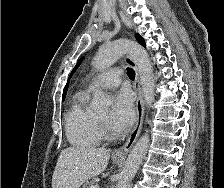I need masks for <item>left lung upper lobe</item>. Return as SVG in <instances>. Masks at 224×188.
I'll list each match as a JSON object with an SVG mask.
<instances>
[{
	"label": "left lung upper lobe",
	"instance_id": "1",
	"mask_svg": "<svg viewBox=\"0 0 224 188\" xmlns=\"http://www.w3.org/2000/svg\"><path fill=\"white\" fill-rule=\"evenodd\" d=\"M136 38L138 40V42L145 46V42H144V39L139 35V34H136ZM82 59L79 60V62L77 63V65L75 66V68L73 69V71L71 72L70 74V77L73 75V73L76 71V69L78 68V66L80 65ZM67 88H68V83L66 84L65 88H64V91H63V100L65 99V96H66V92H67Z\"/></svg>",
	"mask_w": 224,
	"mask_h": 188
}]
</instances>
